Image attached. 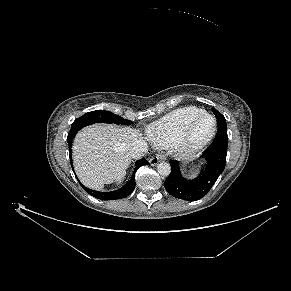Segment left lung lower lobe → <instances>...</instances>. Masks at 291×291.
Returning <instances> with one entry per match:
<instances>
[{
	"mask_svg": "<svg viewBox=\"0 0 291 291\" xmlns=\"http://www.w3.org/2000/svg\"><path fill=\"white\" fill-rule=\"evenodd\" d=\"M227 145V131L217 130L215 140L203 154L205 169L201 176L193 180L181 175L178 161H170L171 173L164 182L167 192L187 201H196L204 197L225 168Z\"/></svg>",
	"mask_w": 291,
	"mask_h": 291,
	"instance_id": "1",
	"label": "left lung lower lobe"
}]
</instances>
